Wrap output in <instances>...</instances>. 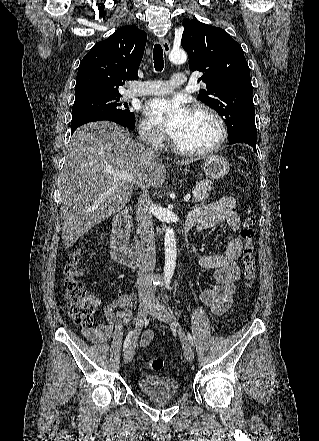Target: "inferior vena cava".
<instances>
[{"instance_id":"602c4592","label":"inferior vena cava","mask_w":319,"mask_h":441,"mask_svg":"<svg viewBox=\"0 0 319 441\" xmlns=\"http://www.w3.org/2000/svg\"><path fill=\"white\" fill-rule=\"evenodd\" d=\"M146 135L144 141L147 142ZM150 155H155L154 150L147 149ZM152 201L143 196L137 204L136 220L138 222L137 233L142 242V259L138 272V293L139 296H154V286L152 283L153 273L156 263L155 233L152 215L149 211Z\"/></svg>"}]
</instances>
